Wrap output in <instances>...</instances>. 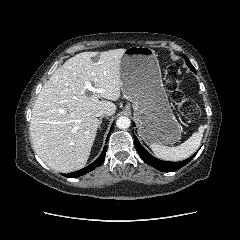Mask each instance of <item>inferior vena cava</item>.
Masks as SVG:
<instances>
[{
    "label": "inferior vena cava",
    "mask_w": 240,
    "mask_h": 240,
    "mask_svg": "<svg viewBox=\"0 0 240 240\" xmlns=\"http://www.w3.org/2000/svg\"><path fill=\"white\" fill-rule=\"evenodd\" d=\"M103 115L109 116V112L107 110H100L97 113V116H103Z\"/></svg>",
    "instance_id": "602c4592"
}]
</instances>
